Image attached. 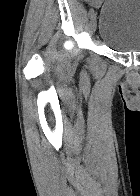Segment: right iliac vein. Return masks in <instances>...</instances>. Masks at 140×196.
<instances>
[{
    "mask_svg": "<svg viewBox=\"0 0 140 196\" xmlns=\"http://www.w3.org/2000/svg\"><path fill=\"white\" fill-rule=\"evenodd\" d=\"M90 24H91V27H92L93 33H95L96 25H97V22H96V16H95V15H92V16H91Z\"/></svg>",
    "mask_w": 140,
    "mask_h": 196,
    "instance_id": "63e3f726",
    "label": "right iliac vein"
}]
</instances>
